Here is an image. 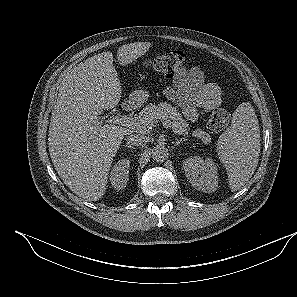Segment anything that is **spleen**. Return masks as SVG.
Listing matches in <instances>:
<instances>
[{
  "mask_svg": "<svg viewBox=\"0 0 297 297\" xmlns=\"http://www.w3.org/2000/svg\"><path fill=\"white\" fill-rule=\"evenodd\" d=\"M260 128L250 103L240 104L233 113L231 126L217 143V154L228 172L232 191L240 190L256 170L260 154Z\"/></svg>",
  "mask_w": 297,
  "mask_h": 297,
  "instance_id": "obj_1",
  "label": "spleen"
}]
</instances>
